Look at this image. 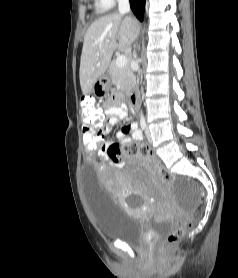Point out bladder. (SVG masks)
<instances>
[{"label":"bladder","instance_id":"31cf9c89","mask_svg":"<svg viewBox=\"0 0 238 278\" xmlns=\"http://www.w3.org/2000/svg\"><path fill=\"white\" fill-rule=\"evenodd\" d=\"M84 180H95L94 167H83ZM95 224L107 239L119 240L130 246L145 245L150 231L160 232L172 225L171 220L145 221L125 212L118 200L99 181H85L83 185Z\"/></svg>","mask_w":238,"mask_h":278}]
</instances>
